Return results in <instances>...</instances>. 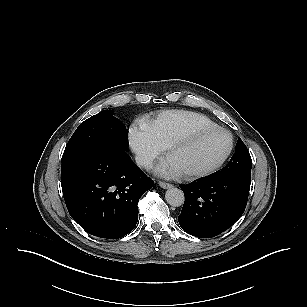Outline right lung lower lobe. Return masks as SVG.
<instances>
[{
    "mask_svg": "<svg viewBox=\"0 0 307 307\" xmlns=\"http://www.w3.org/2000/svg\"><path fill=\"white\" fill-rule=\"evenodd\" d=\"M154 182L123 150L93 149L61 165V185L70 216L89 234L127 235L138 220V201Z\"/></svg>",
    "mask_w": 307,
    "mask_h": 307,
    "instance_id": "1",
    "label": "right lung lower lobe"
}]
</instances>
